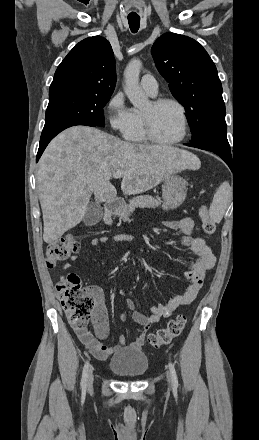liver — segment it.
I'll use <instances>...</instances> for the list:
<instances>
[{
    "label": "liver",
    "mask_w": 259,
    "mask_h": 440,
    "mask_svg": "<svg viewBox=\"0 0 259 440\" xmlns=\"http://www.w3.org/2000/svg\"><path fill=\"white\" fill-rule=\"evenodd\" d=\"M200 165L194 154L176 147L134 144L88 126L68 128L50 142L38 163L43 239L52 244L78 225L92 194L97 203L114 201L117 190L110 179L117 171L123 172L122 192L135 195Z\"/></svg>",
    "instance_id": "1"
}]
</instances>
